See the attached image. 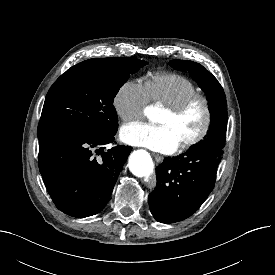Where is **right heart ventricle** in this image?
Instances as JSON below:
<instances>
[{"label": "right heart ventricle", "mask_w": 275, "mask_h": 275, "mask_svg": "<svg viewBox=\"0 0 275 275\" xmlns=\"http://www.w3.org/2000/svg\"><path fill=\"white\" fill-rule=\"evenodd\" d=\"M144 85L149 99L163 106L173 105L198 92V87L191 80L176 73H155Z\"/></svg>", "instance_id": "e07e8e85"}]
</instances>
